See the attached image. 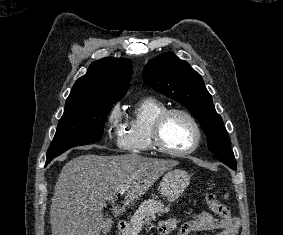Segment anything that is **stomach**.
<instances>
[{
	"label": "stomach",
	"instance_id": "1",
	"mask_svg": "<svg viewBox=\"0 0 283 235\" xmlns=\"http://www.w3.org/2000/svg\"><path fill=\"white\" fill-rule=\"evenodd\" d=\"M189 182L190 176L186 171L181 169L170 170L163 175L160 181L159 191L168 200L174 201L183 194ZM121 232L123 235L133 234L131 226L121 230Z\"/></svg>",
	"mask_w": 283,
	"mask_h": 235
}]
</instances>
